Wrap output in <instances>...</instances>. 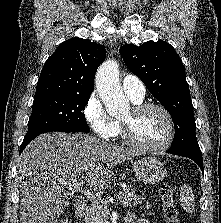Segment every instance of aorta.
I'll list each match as a JSON object with an SVG mask.
<instances>
[{"label": "aorta", "instance_id": "obj_1", "mask_svg": "<svg viewBox=\"0 0 221 223\" xmlns=\"http://www.w3.org/2000/svg\"><path fill=\"white\" fill-rule=\"evenodd\" d=\"M95 83L108 114L117 116L130 108L119 83V65L115 60H107L100 65Z\"/></svg>", "mask_w": 221, "mask_h": 223}]
</instances>
